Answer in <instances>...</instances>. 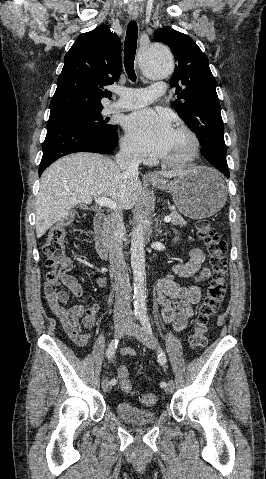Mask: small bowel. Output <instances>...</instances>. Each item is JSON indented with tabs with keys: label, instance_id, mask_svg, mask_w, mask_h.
<instances>
[{
	"label": "small bowel",
	"instance_id": "c3829d8e",
	"mask_svg": "<svg viewBox=\"0 0 266 479\" xmlns=\"http://www.w3.org/2000/svg\"><path fill=\"white\" fill-rule=\"evenodd\" d=\"M205 255L202 250L195 248L191 251L190 260L184 264H176L171 267L167 276L158 281L157 302L162 308V316L166 323L171 324L175 331H182L194 316L193 305L201 298L200 288L197 282L210 277V270L204 266ZM175 276L193 278L194 282L188 285L180 284ZM62 282L65 290H57L55 287L49 290L44 288L47 304L51 312L58 318L70 339L78 346H86L91 339L87 331L96 322L99 305L93 303L89 306L75 304L69 308L64 305L70 299V294L82 297L83 290L77 280L64 273ZM99 286L105 284L103 278H97ZM124 355L134 356L135 351L131 348L122 349Z\"/></svg>",
	"mask_w": 266,
	"mask_h": 479
}]
</instances>
